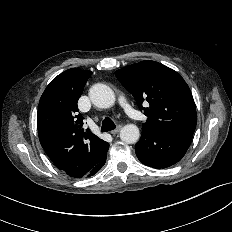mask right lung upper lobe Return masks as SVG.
<instances>
[{
	"instance_id": "cb5924a9",
	"label": "right lung upper lobe",
	"mask_w": 232,
	"mask_h": 232,
	"mask_svg": "<svg viewBox=\"0 0 232 232\" xmlns=\"http://www.w3.org/2000/svg\"><path fill=\"white\" fill-rule=\"evenodd\" d=\"M92 72L68 69L55 77L43 92L38 107L40 143L60 169L74 178L84 177L106 154L109 144L84 132L77 101Z\"/></svg>"
}]
</instances>
